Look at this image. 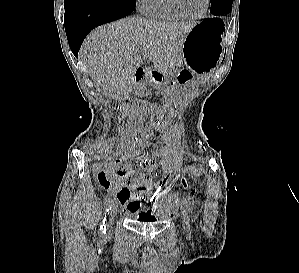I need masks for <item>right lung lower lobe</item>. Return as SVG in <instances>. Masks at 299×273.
I'll return each mask as SVG.
<instances>
[{"label": "right lung lower lobe", "mask_w": 299, "mask_h": 273, "mask_svg": "<svg viewBox=\"0 0 299 273\" xmlns=\"http://www.w3.org/2000/svg\"><path fill=\"white\" fill-rule=\"evenodd\" d=\"M65 30L77 57L86 35L95 27L129 15L136 0H64Z\"/></svg>", "instance_id": "1"}]
</instances>
